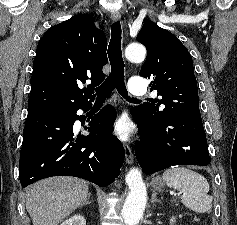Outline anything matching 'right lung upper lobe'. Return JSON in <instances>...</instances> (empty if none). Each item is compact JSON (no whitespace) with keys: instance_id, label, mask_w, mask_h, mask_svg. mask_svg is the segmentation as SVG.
<instances>
[{"instance_id":"obj_1","label":"right lung upper lobe","mask_w":237,"mask_h":225,"mask_svg":"<svg viewBox=\"0 0 237 225\" xmlns=\"http://www.w3.org/2000/svg\"><path fill=\"white\" fill-rule=\"evenodd\" d=\"M88 15H75L45 32L33 62L28 115L61 110L94 99L104 80L106 36ZM91 84L82 88L86 80Z\"/></svg>"}]
</instances>
